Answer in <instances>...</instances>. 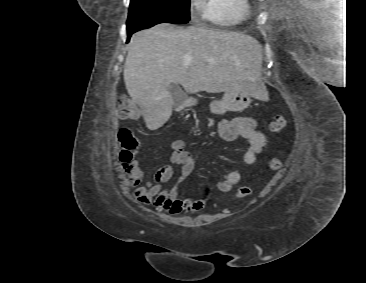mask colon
Here are the masks:
<instances>
[{"label":"colon","instance_id":"obj_1","mask_svg":"<svg viewBox=\"0 0 366 283\" xmlns=\"http://www.w3.org/2000/svg\"><path fill=\"white\" fill-rule=\"evenodd\" d=\"M117 114L122 119H135L138 116V109L136 105L129 99L122 98ZM286 126V118L281 115H275L269 125L268 129L270 132L278 133ZM118 139L122 144V150L120 152V160L123 163H130L133 161L134 155L138 148L137 139L134 137L132 132L127 128H121L118 132ZM283 167L281 160L273 158L269 161V168L272 170H280ZM252 192V188L249 184L241 186L236 193V196L240 199L249 196Z\"/></svg>","mask_w":366,"mask_h":283}]
</instances>
